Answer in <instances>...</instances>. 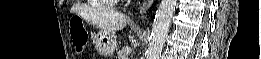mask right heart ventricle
Segmentation results:
<instances>
[{"label":"right heart ventricle","instance_id":"1","mask_svg":"<svg viewBox=\"0 0 261 59\" xmlns=\"http://www.w3.org/2000/svg\"><path fill=\"white\" fill-rule=\"evenodd\" d=\"M100 6H111L114 2V0H98L97 1Z\"/></svg>","mask_w":261,"mask_h":59}]
</instances>
